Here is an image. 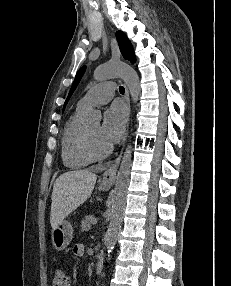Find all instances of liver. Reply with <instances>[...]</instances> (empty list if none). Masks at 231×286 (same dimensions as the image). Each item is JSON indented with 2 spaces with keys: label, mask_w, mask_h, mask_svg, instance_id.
<instances>
[{
  "label": "liver",
  "mask_w": 231,
  "mask_h": 286,
  "mask_svg": "<svg viewBox=\"0 0 231 286\" xmlns=\"http://www.w3.org/2000/svg\"><path fill=\"white\" fill-rule=\"evenodd\" d=\"M97 175L88 170L68 171L60 175L53 186L50 224L56 228L77 207L90 198Z\"/></svg>",
  "instance_id": "1"
}]
</instances>
